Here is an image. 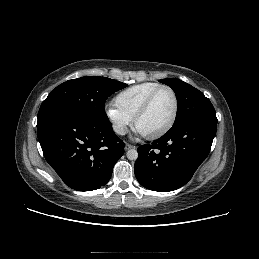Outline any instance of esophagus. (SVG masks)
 <instances>
[{"mask_svg":"<svg viewBox=\"0 0 259 259\" xmlns=\"http://www.w3.org/2000/svg\"><path fill=\"white\" fill-rule=\"evenodd\" d=\"M133 148H135V146H133V145H131V144H126L125 145V150H129V149H133Z\"/></svg>","mask_w":259,"mask_h":259,"instance_id":"esophagus-1","label":"esophagus"}]
</instances>
